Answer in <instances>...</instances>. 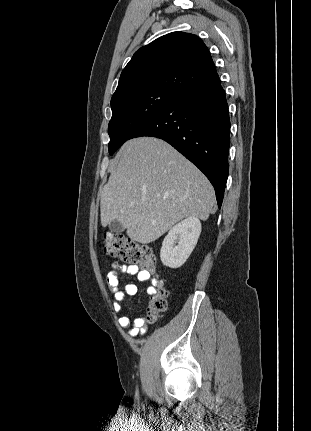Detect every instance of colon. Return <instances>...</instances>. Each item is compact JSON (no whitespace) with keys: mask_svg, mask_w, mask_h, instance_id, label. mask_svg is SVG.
I'll return each instance as SVG.
<instances>
[{"mask_svg":"<svg viewBox=\"0 0 311 431\" xmlns=\"http://www.w3.org/2000/svg\"><path fill=\"white\" fill-rule=\"evenodd\" d=\"M104 251L122 262L137 265L152 274H156V258L153 250L147 245L119 234L108 233L105 235ZM167 295L166 287L162 282H159L154 295L148 302L145 318L147 322H155L165 312Z\"/></svg>","mask_w":311,"mask_h":431,"instance_id":"5ec220e1","label":"colon"}]
</instances>
